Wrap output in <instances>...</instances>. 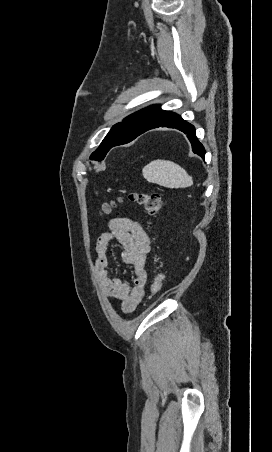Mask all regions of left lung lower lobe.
Returning a JSON list of instances; mask_svg holds the SVG:
<instances>
[{
    "label": "left lung lower lobe",
    "mask_w": 272,
    "mask_h": 452,
    "mask_svg": "<svg viewBox=\"0 0 272 452\" xmlns=\"http://www.w3.org/2000/svg\"><path fill=\"white\" fill-rule=\"evenodd\" d=\"M158 127L176 128L182 131L183 133L187 134V137L191 142L193 152L199 155L200 157L204 158L205 149L196 137L194 126L183 120L180 115L170 111L162 110L160 114L156 117L154 122L151 124V126L147 128L144 132ZM144 132L139 133L137 136L141 135ZM137 136L119 139L113 143V146L126 144L135 139Z\"/></svg>",
    "instance_id": "1"
}]
</instances>
